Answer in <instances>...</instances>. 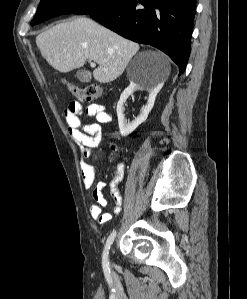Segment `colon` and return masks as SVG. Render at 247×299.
Returning a JSON list of instances; mask_svg holds the SVG:
<instances>
[{"instance_id":"colon-1","label":"colon","mask_w":247,"mask_h":299,"mask_svg":"<svg viewBox=\"0 0 247 299\" xmlns=\"http://www.w3.org/2000/svg\"><path fill=\"white\" fill-rule=\"evenodd\" d=\"M69 92L83 101H93L102 96L103 90L97 84H88L81 86L70 81L64 82Z\"/></svg>"}]
</instances>
